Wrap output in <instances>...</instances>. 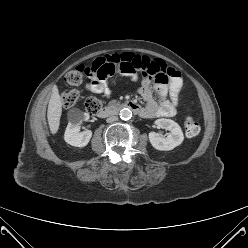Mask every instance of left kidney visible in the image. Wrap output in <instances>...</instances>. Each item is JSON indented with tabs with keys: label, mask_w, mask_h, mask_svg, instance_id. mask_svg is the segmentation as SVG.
<instances>
[{
	"label": "left kidney",
	"mask_w": 248,
	"mask_h": 248,
	"mask_svg": "<svg viewBox=\"0 0 248 248\" xmlns=\"http://www.w3.org/2000/svg\"><path fill=\"white\" fill-rule=\"evenodd\" d=\"M155 125L158 128L170 131L166 138L161 137L158 133L155 132L149 133V141L155 149L160 151H168L174 149L183 142L184 135L182 129L173 120L165 118L157 119L155 121Z\"/></svg>",
	"instance_id": "left-kidney-1"
}]
</instances>
